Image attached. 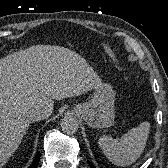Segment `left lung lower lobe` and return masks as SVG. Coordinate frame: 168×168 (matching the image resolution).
Masks as SVG:
<instances>
[{
	"mask_svg": "<svg viewBox=\"0 0 168 168\" xmlns=\"http://www.w3.org/2000/svg\"><path fill=\"white\" fill-rule=\"evenodd\" d=\"M89 163V165L92 167V168H95L93 165H92V163H90V162H88Z\"/></svg>",
	"mask_w": 168,
	"mask_h": 168,
	"instance_id": "1",
	"label": "left lung lower lobe"
}]
</instances>
